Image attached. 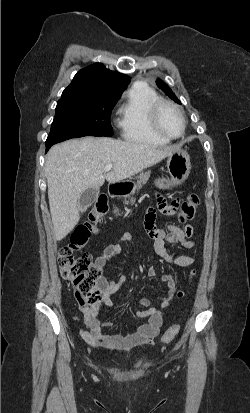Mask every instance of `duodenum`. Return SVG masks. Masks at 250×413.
Here are the masks:
<instances>
[{
    "label": "duodenum",
    "mask_w": 250,
    "mask_h": 413,
    "mask_svg": "<svg viewBox=\"0 0 250 413\" xmlns=\"http://www.w3.org/2000/svg\"><path fill=\"white\" fill-rule=\"evenodd\" d=\"M120 184H110L108 187V195L110 197H115L119 195L120 192Z\"/></svg>",
    "instance_id": "410a0bca"
}]
</instances>
